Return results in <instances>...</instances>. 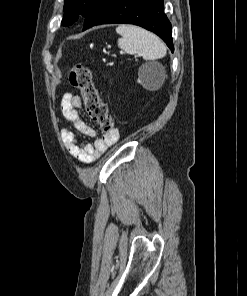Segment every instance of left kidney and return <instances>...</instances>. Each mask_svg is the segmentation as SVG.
Here are the masks:
<instances>
[{
    "label": "left kidney",
    "instance_id": "5707ae66",
    "mask_svg": "<svg viewBox=\"0 0 247 296\" xmlns=\"http://www.w3.org/2000/svg\"><path fill=\"white\" fill-rule=\"evenodd\" d=\"M138 83L142 84L145 87L147 86V79H146L145 74L143 72H141L139 74Z\"/></svg>",
    "mask_w": 247,
    "mask_h": 296
}]
</instances>
